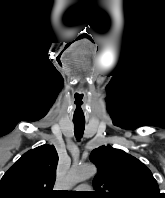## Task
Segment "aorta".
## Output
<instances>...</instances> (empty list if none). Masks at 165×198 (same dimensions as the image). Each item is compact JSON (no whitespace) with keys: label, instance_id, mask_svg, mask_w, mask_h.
<instances>
[{"label":"aorta","instance_id":"obj_1","mask_svg":"<svg viewBox=\"0 0 165 198\" xmlns=\"http://www.w3.org/2000/svg\"><path fill=\"white\" fill-rule=\"evenodd\" d=\"M96 174V167L91 164H73L64 179V186L67 188L73 187L76 184L83 182Z\"/></svg>","mask_w":165,"mask_h":198}]
</instances>
